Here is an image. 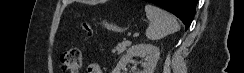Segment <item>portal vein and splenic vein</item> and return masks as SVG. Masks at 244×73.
<instances>
[{
    "label": "portal vein and splenic vein",
    "instance_id": "portal-vein-and-splenic-vein-1",
    "mask_svg": "<svg viewBox=\"0 0 244 73\" xmlns=\"http://www.w3.org/2000/svg\"><path fill=\"white\" fill-rule=\"evenodd\" d=\"M139 35V33H135L134 35H133V37H137Z\"/></svg>",
    "mask_w": 244,
    "mask_h": 73
}]
</instances>
